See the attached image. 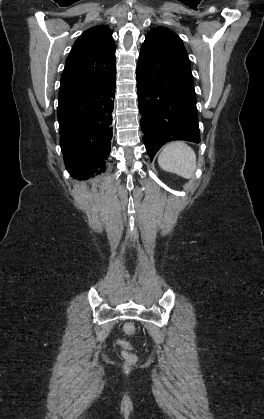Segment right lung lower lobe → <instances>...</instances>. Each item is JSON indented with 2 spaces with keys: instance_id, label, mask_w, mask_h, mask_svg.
<instances>
[{
  "instance_id": "1",
  "label": "right lung lower lobe",
  "mask_w": 264,
  "mask_h": 419,
  "mask_svg": "<svg viewBox=\"0 0 264 419\" xmlns=\"http://www.w3.org/2000/svg\"><path fill=\"white\" fill-rule=\"evenodd\" d=\"M116 72L102 82L59 91L60 146L66 169L78 180L105 170L111 151Z\"/></svg>"
}]
</instances>
